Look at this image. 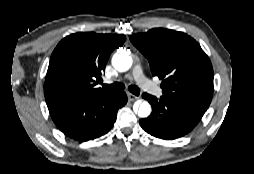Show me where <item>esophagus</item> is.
<instances>
[{
	"instance_id": "34e87169",
	"label": "esophagus",
	"mask_w": 254,
	"mask_h": 174,
	"mask_svg": "<svg viewBox=\"0 0 254 174\" xmlns=\"http://www.w3.org/2000/svg\"><path fill=\"white\" fill-rule=\"evenodd\" d=\"M127 96H128V100H129L130 102H132V101H135V100H138V99H139V97H138V96H135V95H133V94H131V93H128V94H127Z\"/></svg>"
}]
</instances>
